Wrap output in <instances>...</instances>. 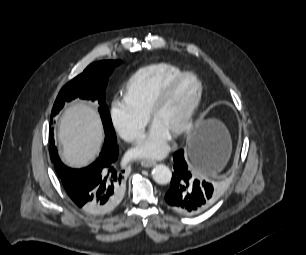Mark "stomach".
Masks as SVG:
<instances>
[{
	"label": "stomach",
	"mask_w": 306,
	"mask_h": 255,
	"mask_svg": "<svg viewBox=\"0 0 306 255\" xmlns=\"http://www.w3.org/2000/svg\"><path fill=\"white\" fill-rule=\"evenodd\" d=\"M211 141L221 143L224 149H226V152H224L221 158L213 165L212 170H205V168L196 165L205 175L215 174L223 167L227 159L229 136L221 122L215 119H200L188 139L187 146L191 149L197 145H204Z\"/></svg>",
	"instance_id": "obj_1"
}]
</instances>
